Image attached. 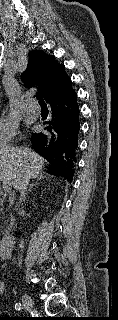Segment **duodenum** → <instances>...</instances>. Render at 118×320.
<instances>
[{
    "instance_id": "1",
    "label": "duodenum",
    "mask_w": 118,
    "mask_h": 320,
    "mask_svg": "<svg viewBox=\"0 0 118 320\" xmlns=\"http://www.w3.org/2000/svg\"><path fill=\"white\" fill-rule=\"evenodd\" d=\"M15 244V237L7 235L0 241V257L8 258Z\"/></svg>"
}]
</instances>
